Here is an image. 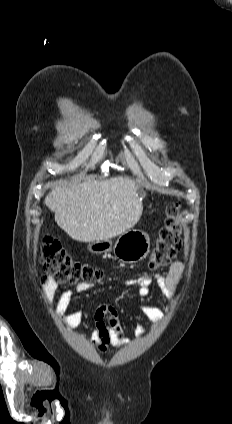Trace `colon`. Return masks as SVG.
<instances>
[{"label":"colon","instance_id":"obj_1","mask_svg":"<svg viewBox=\"0 0 232 424\" xmlns=\"http://www.w3.org/2000/svg\"><path fill=\"white\" fill-rule=\"evenodd\" d=\"M182 233L179 205L172 204L166 209L164 223L155 239L149 259L150 269L162 268L175 258ZM41 264L45 272L44 284L101 281L104 277L102 270L74 258L58 241L50 237L43 241Z\"/></svg>","mask_w":232,"mask_h":424}]
</instances>
